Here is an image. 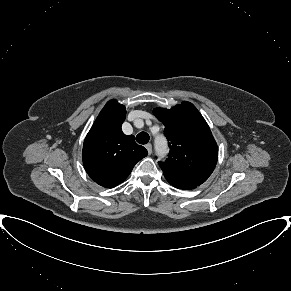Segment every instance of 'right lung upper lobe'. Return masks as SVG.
<instances>
[{"label": "right lung upper lobe", "mask_w": 291, "mask_h": 291, "mask_svg": "<svg viewBox=\"0 0 291 291\" xmlns=\"http://www.w3.org/2000/svg\"><path fill=\"white\" fill-rule=\"evenodd\" d=\"M125 107L110 100L100 112L88 132L83 145V164L97 184L113 188L122 183L134 165L148 152L135 142L133 135H125L121 126Z\"/></svg>", "instance_id": "obj_1"}]
</instances>
